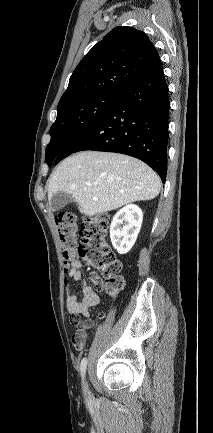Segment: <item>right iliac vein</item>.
<instances>
[{
  "mask_svg": "<svg viewBox=\"0 0 213 433\" xmlns=\"http://www.w3.org/2000/svg\"><path fill=\"white\" fill-rule=\"evenodd\" d=\"M83 388L85 390V393L89 395L88 385L86 382H83Z\"/></svg>",
  "mask_w": 213,
  "mask_h": 433,
  "instance_id": "63e3f726",
  "label": "right iliac vein"
}]
</instances>
